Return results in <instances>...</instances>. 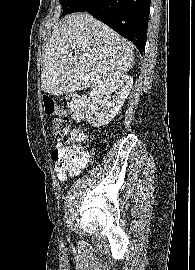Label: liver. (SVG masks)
<instances>
[{
	"label": "liver",
	"instance_id": "1",
	"mask_svg": "<svg viewBox=\"0 0 195 270\" xmlns=\"http://www.w3.org/2000/svg\"><path fill=\"white\" fill-rule=\"evenodd\" d=\"M133 50L132 43L88 13L67 15L46 43L41 88L59 96L121 77L133 66Z\"/></svg>",
	"mask_w": 195,
	"mask_h": 270
}]
</instances>
